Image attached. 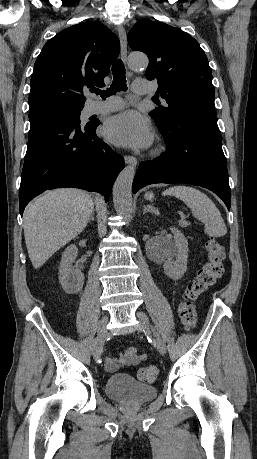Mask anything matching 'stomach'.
<instances>
[{
	"label": "stomach",
	"mask_w": 257,
	"mask_h": 459,
	"mask_svg": "<svg viewBox=\"0 0 257 459\" xmlns=\"http://www.w3.org/2000/svg\"><path fill=\"white\" fill-rule=\"evenodd\" d=\"M145 197H146V199L151 200L153 198V194L152 193H147L145 195Z\"/></svg>",
	"instance_id": "0dacf381"
}]
</instances>
